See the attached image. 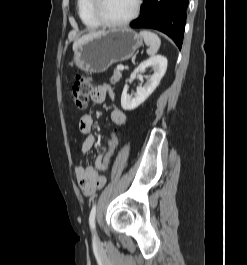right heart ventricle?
<instances>
[{"instance_id":"e07e8e85","label":"right heart ventricle","mask_w":247,"mask_h":265,"mask_svg":"<svg viewBox=\"0 0 247 265\" xmlns=\"http://www.w3.org/2000/svg\"><path fill=\"white\" fill-rule=\"evenodd\" d=\"M76 5L78 15L87 28L96 29L101 26L91 12V0H77Z\"/></svg>"}]
</instances>
